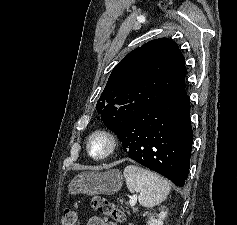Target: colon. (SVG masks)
Here are the masks:
<instances>
[{"label": "colon", "instance_id": "colon-1", "mask_svg": "<svg viewBox=\"0 0 237 225\" xmlns=\"http://www.w3.org/2000/svg\"><path fill=\"white\" fill-rule=\"evenodd\" d=\"M91 205L99 213L105 216L112 217L117 222H123L125 219L123 211L117 208L114 203L104 197H92ZM61 222L62 225H78V215L74 210L67 208L63 213Z\"/></svg>", "mask_w": 237, "mask_h": 225}]
</instances>
